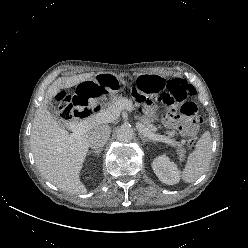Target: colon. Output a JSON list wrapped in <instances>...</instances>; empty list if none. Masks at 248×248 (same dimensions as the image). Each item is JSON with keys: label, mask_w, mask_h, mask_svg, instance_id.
I'll use <instances>...</instances> for the list:
<instances>
[{"label": "colon", "mask_w": 248, "mask_h": 248, "mask_svg": "<svg viewBox=\"0 0 248 248\" xmlns=\"http://www.w3.org/2000/svg\"><path fill=\"white\" fill-rule=\"evenodd\" d=\"M195 93L196 91L193 86L185 79L177 77L167 83V91L159 96V100L165 104H172L174 102L181 103L179 113L186 119V121L182 123H186L191 127L187 132L188 145L190 147H193L197 140L196 127L199 123L197 106L191 101ZM133 96L138 102L142 103L148 101V94L140 87L133 89ZM57 104L60 116L65 121H70L82 114L80 109L82 105L76 101H72L64 94H60L57 97Z\"/></svg>", "instance_id": "obj_1"}]
</instances>
